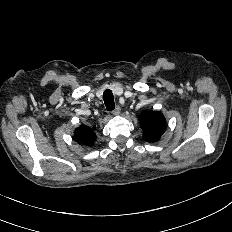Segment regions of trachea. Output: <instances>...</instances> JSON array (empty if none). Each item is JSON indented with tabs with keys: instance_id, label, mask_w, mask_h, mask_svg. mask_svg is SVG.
I'll return each instance as SVG.
<instances>
[{
	"instance_id": "obj_1",
	"label": "trachea",
	"mask_w": 232,
	"mask_h": 232,
	"mask_svg": "<svg viewBox=\"0 0 232 232\" xmlns=\"http://www.w3.org/2000/svg\"><path fill=\"white\" fill-rule=\"evenodd\" d=\"M103 99L108 111H112L115 108L114 96L111 90H105L103 93Z\"/></svg>"
}]
</instances>
